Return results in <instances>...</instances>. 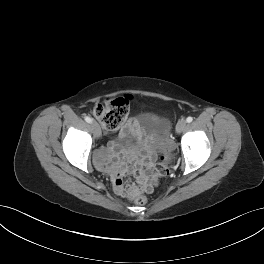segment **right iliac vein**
Returning <instances> with one entry per match:
<instances>
[{
	"label": "right iliac vein",
	"mask_w": 264,
	"mask_h": 264,
	"mask_svg": "<svg viewBox=\"0 0 264 264\" xmlns=\"http://www.w3.org/2000/svg\"><path fill=\"white\" fill-rule=\"evenodd\" d=\"M92 128H93V131H94V135L96 138H99L101 136V129H100V126L97 122H92Z\"/></svg>",
	"instance_id": "1"
}]
</instances>
